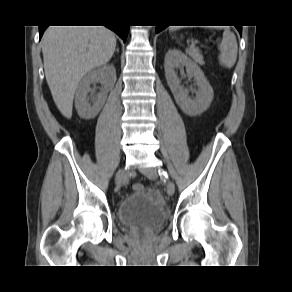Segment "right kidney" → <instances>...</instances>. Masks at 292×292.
Segmentation results:
<instances>
[{
    "label": "right kidney",
    "instance_id": "right-kidney-1",
    "mask_svg": "<svg viewBox=\"0 0 292 292\" xmlns=\"http://www.w3.org/2000/svg\"><path fill=\"white\" fill-rule=\"evenodd\" d=\"M116 79V69L113 65H104L89 71L82 78L75 95V107L81 118L92 119L98 115L105 103L107 93L114 87ZM98 81L103 82V91L96 97H88L91 90L90 85Z\"/></svg>",
    "mask_w": 292,
    "mask_h": 292
}]
</instances>
